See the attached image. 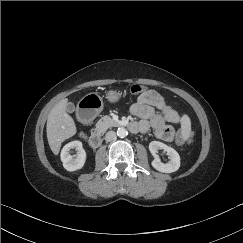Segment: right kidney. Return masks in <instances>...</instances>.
I'll list each match as a JSON object with an SVG mask.
<instances>
[{
	"label": "right kidney",
	"mask_w": 243,
	"mask_h": 243,
	"mask_svg": "<svg viewBox=\"0 0 243 243\" xmlns=\"http://www.w3.org/2000/svg\"><path fill=\"white\" fill-rule=\"evenodd\" d=\"M71 149H76V158H73V156L70 155ZM60 156L61 161L63 162V167L70 172L82 169L87 157L81 141H72L66 144L63 147Z\"/></svg>",
	"instance_id": "1"
}]
</instances>
